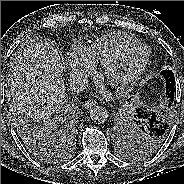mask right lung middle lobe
<instances>
[{"instance_id": "dd1d6c3e", "label": "right lung middle lobe", "mask_w": 184, "mask_h": 184, "mask_svg": "<svg viewBox=\"0 0 184 184\" xmlns=\"http://www.w3.org/2000/svg\"><path fill=\"white\" fill-rule=\"evenodd\" d=\"M20 132H21L23 138H25V140L28 142L29 146L33 149L35 146L34 145L35 143H33L35 141H33V140L36 137H34V134L32 133V131L28 127H26V123H24V121H23V123L20 124Z\"/></svg>"}]
</instances>
